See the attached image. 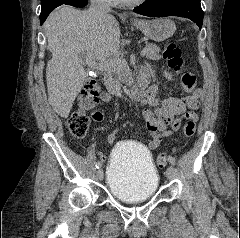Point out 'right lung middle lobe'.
<instances>
[{
	"label": "right lung middle lobe",
	"instance_id": "1",
	"mask_svg": "<svg viewBox=\"0 0 240 238\" xmlns=\"http://www.w3.org/2000/svg\"><path fill=\"white\" fill-rule=\"evenodd\" d=\"M70 2H71V0H41L40 18H43V17L49 15V13L56 7H58L62 4L69 5Z\"/></svg>",
	"mask_w": 240,
	"mask_h": 238
}]
</instances>
